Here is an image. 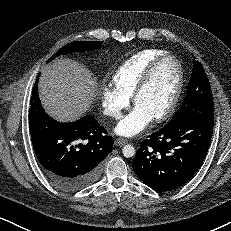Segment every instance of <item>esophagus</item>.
Instances as JSON below:
<instances>
[{
  "label": "esophagus",
  "mask_w": 231,
  "mask_h": 231,
  "mask_svg": "<svg viewBox=\"0 0 231 231\" xmlns=\"http://www.w3.org/2000/svg\"><path fill=\"white\" fill-rule=\"evenodd\" d=\"M126 143H127V141L125 139H122V138H117L115 140L116 146H124Z\"/></svg>",
  "instance_id": "1"
}]
</instances>
